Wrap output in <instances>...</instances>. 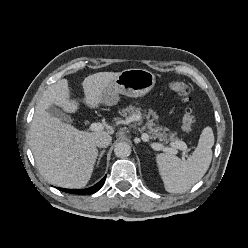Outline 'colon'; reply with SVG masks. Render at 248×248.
Returning <instances> with one entry per match:
<instances>
[{
	"label": "colon",
	"mask_w": 248,
	"mask_h": 248,
	"mask_svg": "<svg viewBox=\"0 0 248 248\" xmlns=\"http://www.w3.org/2000/svg\"><path fill=\"white\" fill-rule=\"evenodd\" d=\"M169 88L172 92L178 94L184 101L191 100L190 87L180 81H172L169 83ZM195 123V114L192 108H187L182 118V129L184 132L189 133L192 131Z\"/></svg>",
	"instance_id": "colon-1"
}]
</instances>
